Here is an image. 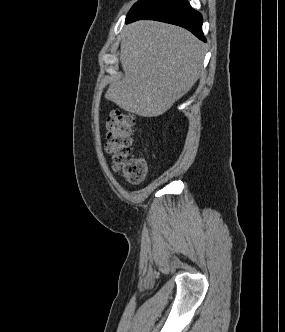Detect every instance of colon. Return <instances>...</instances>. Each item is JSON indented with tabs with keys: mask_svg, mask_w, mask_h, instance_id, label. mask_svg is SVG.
<instances>
[{
	"mask_svg": "<svg viewBox=\"0 0 285 332\" xmlns=\"http://www.w3.org/2000/svg\"><path fill=\"white\" fill-rule=\"evenodd\" d=\"M135 124L133 114L114 110L107 121L105 150L110 155L113 167L131 184L141 183L147 173L146 161L131 156L132 130Z\"/></svg>",
	"mask_w": 285,
	"mask_h": 332,
	"instance_id": "obj_1",
	"label": "colon"
}]
</instances>
